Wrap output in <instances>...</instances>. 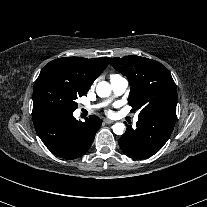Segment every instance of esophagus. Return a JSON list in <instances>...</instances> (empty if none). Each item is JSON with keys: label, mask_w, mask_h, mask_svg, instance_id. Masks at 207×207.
Masks as SVG:
<instances>
[{"label": "esophagus", "mask_w": 207, "mask_h": 207, "mask_svg": "<svg viewBox=\"0 0 207 207\" xmlns=\"http://www.w3.org/2000/svg\"><path fill=\"white\" fill-rule=\"evenodd\" d=\"M104 123H106V124H112L113 121L110 120V119H108V118H105V119H104Z\"/></svg>", "instance_id": "esophagus-1"}]
</instances>
